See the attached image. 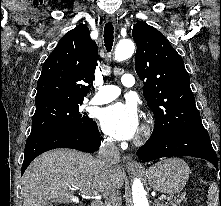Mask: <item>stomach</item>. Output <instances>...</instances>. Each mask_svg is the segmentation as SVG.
<instances>
[{
  "mask_svg": "<svg viewBox=\"0 0 221 206\" xmlns=\"http://www.w3.org/2000/svg\"><path fill=\"white\" fill-rule=\"evenodd\" d=\"M189 174L190 169L182 159L168 158L151 166L147 179L154 190L172 195L184 188Z\"/></svg>",
  "mask_w": 221,
  "mask_h": 206,
  "instance_id": "0dacf381",
  "label": "stomach"
}]
</instances>
